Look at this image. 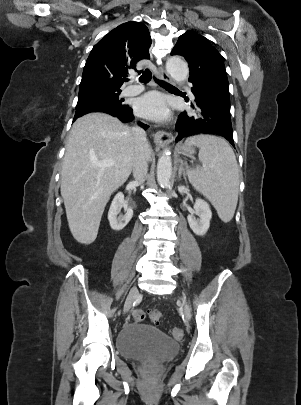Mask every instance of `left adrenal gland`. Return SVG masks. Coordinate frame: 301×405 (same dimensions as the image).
Masks as SVG:
<instances>
[{
	"label": "left adrenal gland",
	"mask_w": 301,
	"mask_h": 405,
	"mask_svg": "<svg viewBox=\"0 0 301 405\" xmlns=\"http://www.w3.org/2000/svg\"><path fill=\"white\" fill-rule=\"evenodd\" d=\"M181 175H183L184 179H186V171L183 167V161L180 160V165H179V171H178V177L180 178Z\"/></svg>",
	"instance_id": "obj_1"
}]
</instances>
